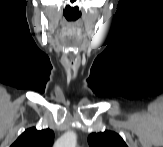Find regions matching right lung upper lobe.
Listing matches in <instances>:
<instances>
[{"mask_svg": "<svg viewBox=\"0 0 163 147\" xmlns=\"http://www.w3.org/2000/svg\"><path fill=\"white\" fill-rule=\"evenodd\" d=\"M54 132L50 129L37 130L35 127L25 130L11 147H51Z\"/></svg>", "mask_w": 163, "mask_h": 147, "instance_id": "cb5924a9", "label": "right lung upper lobe"}]
</instances>
